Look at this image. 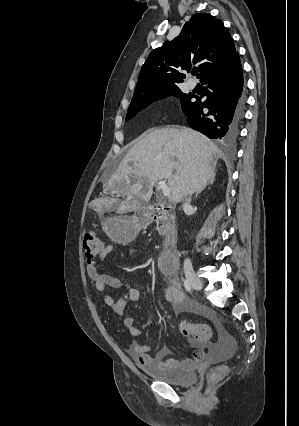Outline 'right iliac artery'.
Instances as JSON below:
<instances>
[{
	"label": "right iliac artery",
	"instance_id": "obj_1",
	"mask_svg": "<svg viewBox=\"0 0 299 426\" xmlns=\"http://www.w3.org/2000/svg\"><path fill=\"white\" fill-rule=\"evenodd\" d=\"M184 287H185V289H186L188 292H191V291H192L191 284L189 283V281H188V280H184Z\"/></svg>",
	"mask_w": 299,
	"mask_h": 426
}]
</instances>
